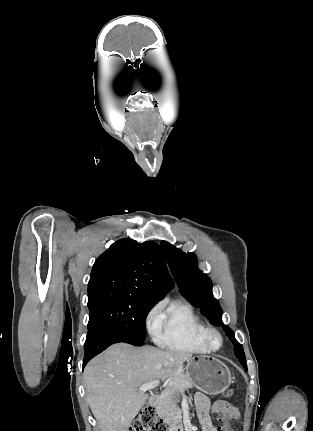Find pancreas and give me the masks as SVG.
Returning a JSON list of instances; mask_svg holds the SVG:
<instances>
[{"instance_id": "obj_1", "label": "pancreas", "mask_w": 313, "mask_h": 431, "mask_svg": "<svg viewBox=\"0 0 313 431\" xmlns=\"http://www.w3.org/2000/svg\"><path fill=\"white\" fill-rule=\"evenodd\" d=\"M194 387L193 381L186 374H179L169 383L156 399V412L161 415L170 428L175 430L182 426L181 409L177 405V398L185 390Z\"/></svg>"}]
</instances>
